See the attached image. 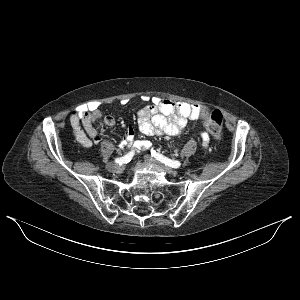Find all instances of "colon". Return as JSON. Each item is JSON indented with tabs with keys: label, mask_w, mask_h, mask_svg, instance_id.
<instances>
[{
	"label": "colon",
	"mask_w": 300,
	"mask_h": 300,
	"mask_svg": "<svg viewBox=\"0 0 300 300\" xmlns=\"http://www.w3.org/2000/svg\"><path fill=\"white\" fill-rule=\"evenodd\" d=\"M199 116L202 117L205 128L214 136L219 137L223 125L222 112L217 109L207 111L206 109L200 107Z\"/></svg>",
	"instance_id": "1"
}]
</instances>
